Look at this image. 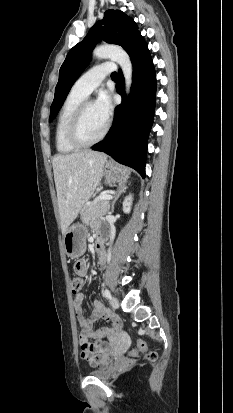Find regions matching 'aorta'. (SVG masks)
<instances>
[{
	"label": "aorta",
	"mask_w": 233,
	"mask_h": 413,
	"mask_svg": "<svg viewBox=\"0 0 233 413\" xmlns=\"http://www.w3.org/2000/svg\"><path fill=\"white\" fill-rule=\"evenodd\" d=\"M93 56L98 59H111L120 65L125 79V90L128 94L132 85L133 67L126 51L117 46L102 45L93 50Z\"/></svg>",
	"instance_id": "obj_1"
}]
</instances>
